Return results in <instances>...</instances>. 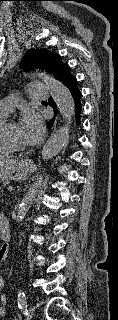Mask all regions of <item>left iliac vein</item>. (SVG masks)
Masks as SVG:
<instances>
[{
	"label": "left iliac vein",
	"instance_id": "obj_1",
	"mask_svg": "<svg viewBox=\"0 0 118 320\" xmlns=\"http://www.w3.org/2000/svg\"><path fill=\"white\" fill-rule=\"evenodd\" d=\"M34 313H35V308L33 306H30L28 308L25 320H31V318L33 317Z\"/></svg>",
	"mask_w": 118,
	"mask_h": 320
}]
</instances>
